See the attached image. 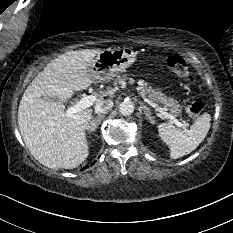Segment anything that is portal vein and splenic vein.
Here are the masks:
<instances>
[{"label":"portal vein and splenic vein","instance_id":"1","mask_svg":"<svg viewBox=\"0 0 233 233\" xmlns=\"http://www.w3.org/2000/svg\"><path fill=\"white\" fill-rule=\"evenodd\" d=\"M143 99L145 102H147L149 105H151L153 108H155L157 111H159L162 115H164L166 118L170 119L172 123L176 124L178 127H182V123L178 121L174 115L167 112L166 108H162L159 105L153 103L151 100L143 96ZM97 100L96 95H89V96H83L80 101H78L75 105L68 107L65 111L66 114L69 116H72L73 114L86 109L94 104V102Z\"/></svg>","mask_w":233,"mask_h":233}]
</instances>
